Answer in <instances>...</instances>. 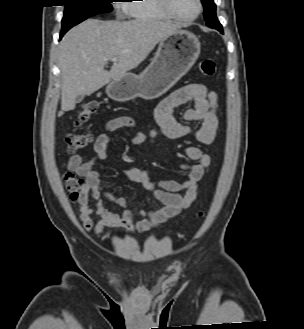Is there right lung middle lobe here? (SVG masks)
<instances>
[{"label": "right lung middle lobe", "instance_id": "obj_1", "mask_svg": "<svg viewBox=\"0 0 304 329\" xmlns=\"http://www.w3.org/2000/svg\"><path fill=\"white\" fill-rule=\"evenodd\" d=\"M65 11L62 19L61 32L66 33L70 28L85 19L112 11V0H64Z\"/></svg>", "mask_w": 304, "mask_h": 329}]
</instances>
